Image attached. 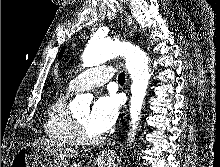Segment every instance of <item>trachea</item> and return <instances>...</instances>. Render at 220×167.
I'll list each match as a JSON object with an SVG mask.
<instances>
[{
  "label": "trachea",
  "instance_id": "3493384b",
  "mask_svg": "<svg viewBox=\"0 0 220 167\" xmlns=\"http://www.w3.org/2000/svg\"><path fill=\"white\" fill-rule=\"evenodd\" d=\"M124 81H125V74H124V72H121L118 76V82L120 84H124Z\"/></svg>",
  "mask_w": 220,
  "mask_h": 167
}]
</instances>
